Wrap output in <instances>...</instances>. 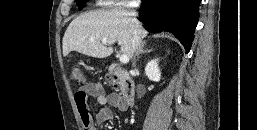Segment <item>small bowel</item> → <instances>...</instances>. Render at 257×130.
I'll use <instances>...</instances> for the list:
<instances>
[{"instance_id": "obj_1", "label": "small bowel", "mask_w": 257, "mask_h": 130, "mask_svg": "<svg viewBox=\"0 0 257 130\" xmlns=\"http://www.w3.org/2000/svg\"><path fill=\"white\" fill-rule=\"evenodd\" d=\"M90 97L96 98L102 106L94 117L91 116L88 107ZM74 100L85 130H96V125H101L111 119V108H117L120 111H125L127 108L121 94L115 92L107 94L98 82H88L82 85L76 91Z\"/></svg>"}]
</instances>
